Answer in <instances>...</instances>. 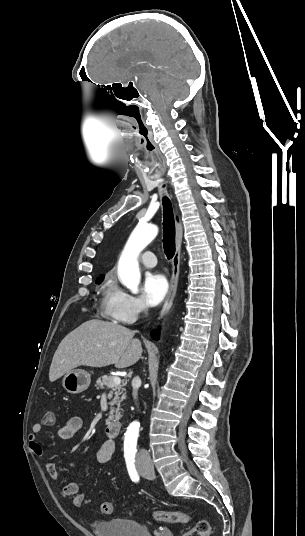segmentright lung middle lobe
<instances>
[{
	"mask_svg": "<svg viewBox=\"0 0 305 536\" xmlns=\"http://www.w3.org/2000/svg\"><path fill=\"white\" fill-rule=\"evenodd\" d=\"M103 278H100L96 281V283H100L102 281Z\"/></svg>",
	"mask_w": 305,
	"mask_h": 536,
	"instance_id": "dd1d6c3e",
	"label": "right lung middle lobe"
}]
</instances>
